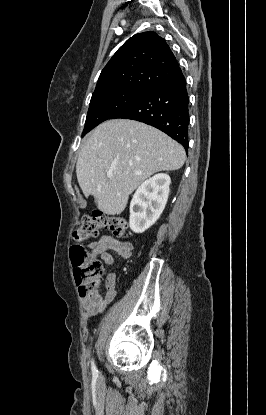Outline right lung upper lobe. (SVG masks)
<instances>
[{"label":"right lung upper lobe","instance_id":"1","mask_svg":"<svg viewBox=\"0 0 266 415\" xmlns=\"http://www.w3.org/2000/svg\"><path fill=\"white\" fill-rule=\"evenodd\" d=\"M182 71L166 41L155 32L128 39L102 70L93 94L118 88L150 91Z\"/></svg>","mask_w":266,"mask_h":415}]
</instances>
